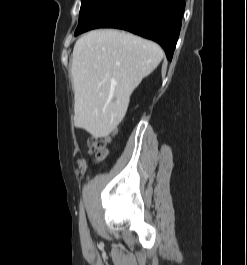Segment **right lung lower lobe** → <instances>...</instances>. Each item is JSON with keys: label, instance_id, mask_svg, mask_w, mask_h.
I'll return each mask as SVG.
<instances>
[{"label": "right lung lower lobe", "instance_id": "obj_1", "mask_svg": "<svg viewBox=\"0 0 247 265\" xmlns=\"http://www.w3.org/2000/svg\"><path fill=\"white\" fill-rule=\"evenodd\" d=\"M184 9L185 0H99L75 36L95 28L123 29L156 41L171 60Z\"/></svg>", "mask_w": 247, "mask_h": 265}]
</instances>
